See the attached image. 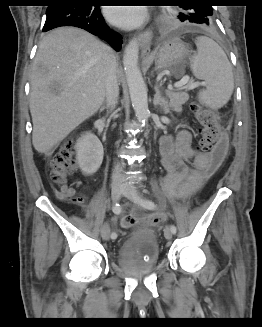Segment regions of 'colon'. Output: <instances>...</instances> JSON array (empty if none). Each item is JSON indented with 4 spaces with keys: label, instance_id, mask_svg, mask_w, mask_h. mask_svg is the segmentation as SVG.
I'll return each instance as SVG.
<instances>
[{
    "label": "colon",
    "instance_id": "5ec220e1",
    "mask_svg": "<svg viewBox=\"0 0 262 327\" xmlns=\"http://www.w3.org/2000/svg\"><path fill=\"white\" fill-rule=\"evenodd\" d=\"M191 110L200 125L198 151L209 155V165L214 171L222 166L228 155V139L221 128L217 115L212 110L196 102L192 103ZM75 149V141H68L54 154L50 162V179L60 187V195L64 198H71L74 195L67 180L76 170ZM162 218V214H156L150 216L148 220L155 225ZM135 222L136 218L132 215H123L120 219L122 227H130Z\"/></svg>",
    "mask_w": 262,
    "mask_h": 327
}]
</instances>
